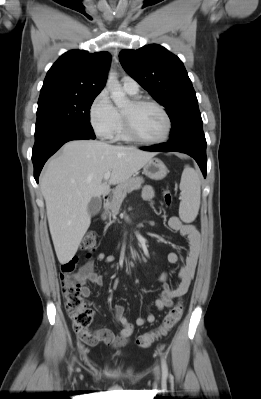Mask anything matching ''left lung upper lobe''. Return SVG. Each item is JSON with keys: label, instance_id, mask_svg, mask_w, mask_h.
I'll return each mask as SVG.
<instances>
[{"label": "left lung upper lobe", "instance_id": "left-lung-upper-lobe-1", "mask_svg": "<svg viewBox=\"0 0 261 399\" xmlns=\"http://www.w3.org/2000/svg\"><path fill=\"white\" fill-rule=\"evenodd\" d=\"M119 60L125 71L166 109L172 122L171 143L204 135L198 100L182 61L166 48L150 44L124 49Z\"/></svg>", "mask_w": 261, "mask_h": 399}]
</instances>
